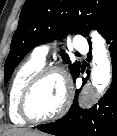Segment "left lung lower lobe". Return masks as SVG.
Listing matches in <instances>:
<instances>
[{"instance_id":"left-lung-lower-lobe-1","label":"left lung lower lobe","mask_w":117,"mask_h":136,"mask_svg":"<svg viewBox=\"0 0 117 136\" xmlns=\"http://www.w3.org/2000/svg\"><path fill=\"white\" fill-rule=\"evenodd\" d=\"M102 36L109 44L112 59L113 81L109 90L89 110L78 106L79 91L76 90L75 100L68 113L54 123L36 126L37 129L56 136H117V18ZM89 44L91 47V43Z\"/></svg>"}]
</instances>
